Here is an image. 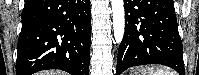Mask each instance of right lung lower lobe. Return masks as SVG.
I'll return each mask as SVG.
<instances>
[{
    "label": "right lung lower lobe",
    "mask_w": 199,
    "mask_h": 75,
    "mask_svg": "<svg viewBox=\"0 0 199 75\" xmlns=\"http://www.w3.org/2000/svg\"><path fill=\"white\" fill-rule=\"evenodd\" d=\"M16 75L60 69L89 75V0H25Z\"/></svg>",
    "instance_id": "98d812e1"
}]
</instances>
